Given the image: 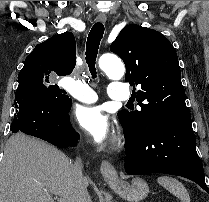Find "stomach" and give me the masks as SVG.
<instances>
[{
	"instance_id": "0dacf381",
	"label": "stomach",
	"mask_w": 209,
	"mask_h": 202,
	"mask_svg": "<svg viewBox=\"0 0 209 202\" xmlns=\"http://www.w3.org/2000/svg\"><path fill=\"white\" fill-rule=\"evenodd\" d=\"M109 186L123 199L129 202H139L149 193L148 184L141 178H134L131 182L107 179Z\"/></svg>"
}]
</instances>
